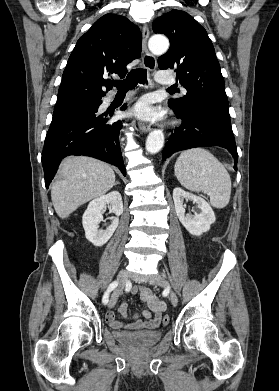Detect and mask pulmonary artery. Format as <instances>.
Wrapping results in <instances>:
<instances>
[{"mask_svg": "<svg viewBox=\"0 0 279 391\" xmlns=\"http://www.w3.org/2000/svg\"><path fill=\"white\" fill-rule=\"evenodd\" d=\"M156 79L158 82L163 84H172L174 83V77L170 74L165 73L164 71H160L156 75Z\"/></svg>", "mask_w": 279, "mask_h": 391, "instance_id": "obj_1", "label": "pulmonary artery"}]
</instances>
